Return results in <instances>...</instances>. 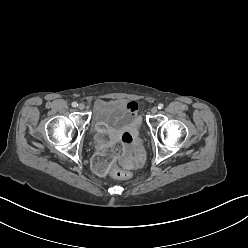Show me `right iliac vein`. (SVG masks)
Instances as JSON below:
<instances>
[{
  "mask_svg": "<svg viewBox=\"0 0 248 248\" xmlns=\"http://www.w3.org/2000/svg\"><path fill=\"white\" fill-rule=\"evenodd\" d=\"M84 108H85V105H84L83 103H80V104L78 105V109L84 110Z\"/></svg>",
  "mask_w": 248,
  "mask_h": 248,
  "instance_id": "right-iliac-vein-1",
  "label": "right iliac vein"
}]
</instances>
